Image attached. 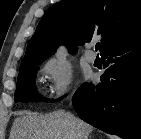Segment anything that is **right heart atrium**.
Wrapping results in <instances>:
<instances>
[{"label": "right heart atrium", "instance_id": "1", "mask_svg": "<svg viewBox=\"0 0 141 139\" xmlns=\"http://www.w3.org/2000/svg\"><path fill=\"white\" fill-rule=\"evenodd\" d=\"M41 73L47 83V97L52 102H60L72 94L75 79L68 65L50 59L42 65Z\"/></svg>", "mask_w": 141, "mask_h": 139}]
</instances>
